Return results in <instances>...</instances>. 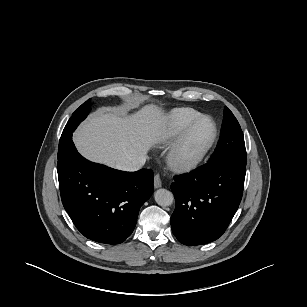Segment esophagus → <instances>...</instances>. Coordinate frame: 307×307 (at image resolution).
Segmentation results:
<instances>
[{"label":"esophagus","mask_w":307,"mask_h":307,"mask_svg":"<svg viewBox=\"0 0 307 307\" xmlns=\"http://www.w3.org/2000/svg\"><path fill=\"white\" fill-rule=\"evenodd\" d=\"M161 185H162L161 178H160L159 174H156L154 176V187L157 189V188H160Z\"/></svg>","instance_id":"obj_1"}]
</instances>
